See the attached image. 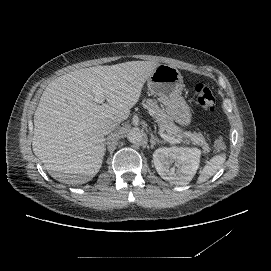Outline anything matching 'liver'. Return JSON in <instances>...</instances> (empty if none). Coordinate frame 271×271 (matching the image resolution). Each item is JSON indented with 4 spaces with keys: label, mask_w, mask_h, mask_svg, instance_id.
<instances>
[{
    "label": "liver",
    "mask_w": 271,
    "mask_h": 271,
    "mask_svg": "<svg viewBox=\"0 0 271 271\" xmlns=\"http://www.w3.org/2000/svg\"><path fill=\"white\" fill-rule=\"evenodd\" d=\"M159 63L129 61L71 71L54 79L34 114L32 147L51 177L84 184L100 170L105 155L101 126L122 122L138 102L146 80ZM100 84L107 103L94 101Z\"/></svg>",
    "instance_id": "obj_1"
}]
</instances>
